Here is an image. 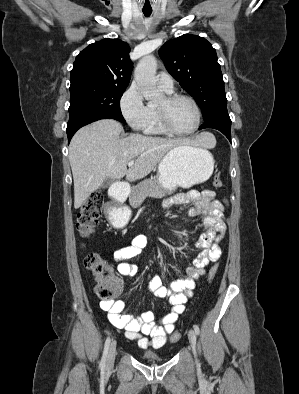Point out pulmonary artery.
<instances>
[{"instance_id": "1", "label": "pulmonary artery", "mask_w": 299, "mask_h": 394, "mask_svg": "<svg viewBox=\"0 0 299 394\" xmlns=\"http://www.w3.org/2000/svg\"><path fill=\"white\" fill-rule=\"evenodd\" d=\"M159 87L166 90H172L174 88L173 79L171 75L166 72H162L158 75Z\"/></svg>"}]
</instances>
